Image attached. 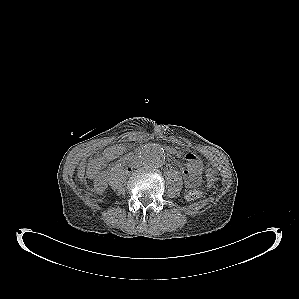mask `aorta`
<instances>
[{"instance_id": "obj_1", "label": "aorta", "mask_w": 299, "mask_h": 299, "mask_svg": "<svg viewBox=\"0 0 299 299\" xmlns=\"http://www.w3.org/2000/svg\"><path fill=\"white\" fill-rule=\"evenodd\" d=\"M140 159L150 168L160 167L165 160L164 149L158 144H146L140 149Z\"/></svg>"}]
</instances>
